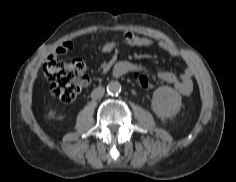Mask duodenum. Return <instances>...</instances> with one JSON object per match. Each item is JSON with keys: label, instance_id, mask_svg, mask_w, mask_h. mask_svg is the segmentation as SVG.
I'll return each instance as SVG.
<instances>
[{"label": "duodenum", "instance_id": "obj_1", "mask_svg": "<svg viewBox=\"0 0 236 182\" xmlns=\"http://www.w3.org/2000/svg\"><path fill=\"white\" fill-rule=\"evenodd\" d=\"M131 70L132 68L128 64L122 62L116 66V68L113 71V74L116 77H122L127 75Z\"/></svg>", "mask_w": 236, "mask_h": 182}]
</instances>
